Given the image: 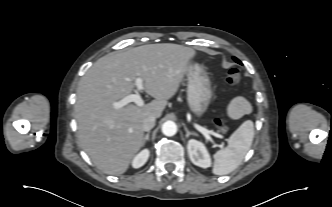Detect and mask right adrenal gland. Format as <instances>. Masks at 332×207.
Returning <instances> with one entry per match:
<instances>
[{"mask_svg": "<svg viewBox=\"0 0 332 207\" xmlns=\"http://www.w3.org/2000/svg\"><path fill=\"white\" fill-rule=\"evenodd\" d=\"M149 136H150V132H148V133L145 135L144 142H146V141L149 140Z\"/></svg>", "mask_w": 332, "mask_h": 207, "instance_id": "2a0ac1e0", "label": "right adrenal gland"}]
</instances>
